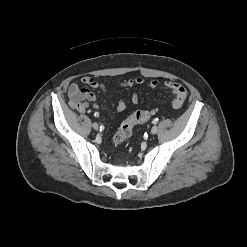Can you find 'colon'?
<instances>
[{
    "instance_id": "colon-1",
    "label": "colon",
    "mask_w": 247,
    "mask_h": 247,
    "mask_svg": "<svg viewBox=\"0 0 247 247\" xmlns=\"http://www.w3.org/2000/svg\"><path fill=\"white\" fill-rule=\"evenodd\" d=\"M153 115L152 111L138 110L130 115L121 125L114 136V143L120 144L126 141L133 133L137 124L147 121Z\"/></svg>"
}]
</instances>
